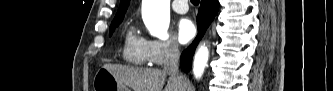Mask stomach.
Segmentation results:
<instances>
[{"instance_id": "0dacf381", "label": "stomach", "mask_w": 333, "mask_h": 91, "mask_svg": "<svg viewBox=\"0 0 333 91\" xmlns=\"http://www.w3.org/2000/svg\"><path fill=\"white\" fill-rule=\"evenodd\" d=\"M94 91H129L114 75L105 68H100L93 80Z\"/></svg>"}]
</instances>
